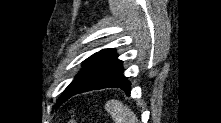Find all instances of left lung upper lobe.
I'll return each instance as SVG.
<instances>
[{"instance_id":"1","label":"left lung upper lobe","mask_w":221,"mask_h":123,"mask_svg":"<svg viewBox=\"0 0 221 123\" xmlns=\"http://www.w3.org/2000/svg\"><path fill=\"white\" fill-rule=\"evenodd\" d=\"M114 49H104L90 56L84 61V67L70 85L64 90L59 104L66 101L70 95L79 89L85 82L95 76L103 68L117 60Z\"/></svg>"}]
</instances>
